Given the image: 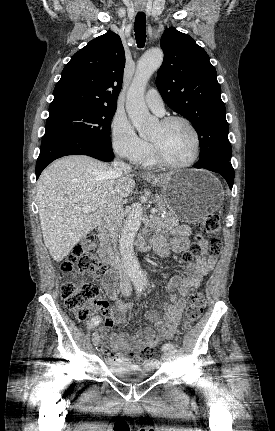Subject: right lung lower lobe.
Listing matches in <instances>:
<instances>
[{"mask_svg":"<svg viewBox=\"0 0 275 431\" xmlns=\"http://www.w3.org/2000/svg\"><path fill=\"white\" fill-rule=\"evenodd\" d=\"M67 155H88L106 162L114 157L112 148L92 140L69 136L43 138L36 163V179L52 161Z\"/></svg>","mask_w":275,"mask_h":431,"instance_id":"obj_1","label":"right lung lower lobe"}]
</instances>
